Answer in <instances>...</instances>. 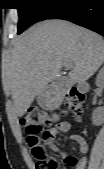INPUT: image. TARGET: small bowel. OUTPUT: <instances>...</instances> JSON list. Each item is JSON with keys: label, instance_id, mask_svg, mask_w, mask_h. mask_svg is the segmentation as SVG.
I'll return each mask as SVG.
<instances>
[{"label": "small bowel", "instance_id": "1", "mask_svg": "<svg viewBox=\"0 0 104 169\" xmlns=\"http://www.w3.org/2000/svg\"><path fill=\"white\" fill-rule=\"evenodd\" d=\"M56 131L58 132H68L71 130V124L67 121H63L58 123L55 126ZM53 139H54V134L53 136H45L43 138L44 142L48 143V144H52L53 143ZM69 142L70 143H75L78 146V149L81 153L86 154L88 152V144L86 142V140L84 139V137L80 134H72L69 137ZM61 154L63 156H65V150L61 149ZM85 165H86V158L83 157L82 159H80L79 161H77L76 164V169H85Z\"/></svg>", "mask_w": 104, "mask_h": 169}]
</instances>
